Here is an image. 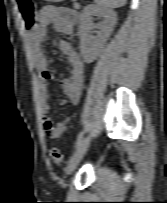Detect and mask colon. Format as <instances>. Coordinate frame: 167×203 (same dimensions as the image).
Returning a JSON list of instances; mask_svg holds the SVG:
<instances>
[{"label":"colon","instance_id":"obj_1","mask_svg":"<svg viewBox=\"0 0 167 203\" xmlns=\"http://www.w3.org/2000/svg\"><path fill=\"white\" fill-rule=\"evenodd\" d=\"M17 5L24 26L28 30H33L36 27L34 0H17ZM50 155L56 164L62 163L63 155L58 147H53Z\"/></svg>","mask_w":167,"mask_h":203}]
</instances>
